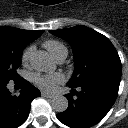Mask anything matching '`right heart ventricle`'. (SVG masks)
<instances>
[{"label":"right heart ventricle","instance_id":"obj_1","mask_svg":"<svg viewBox=\"0 0 128 128\" xmlns=\"http://www.w3.org/2000/svg\"><path fill=\"white\" fill-rule=\"evenodd\" d=\"M43 46L48 52L57 60L61 57H65L68 54L66 46L58 40L50 39L44 42Z\"/></svg>","mask_w":128,"mask_h":128}]
</instances>
